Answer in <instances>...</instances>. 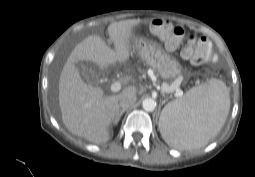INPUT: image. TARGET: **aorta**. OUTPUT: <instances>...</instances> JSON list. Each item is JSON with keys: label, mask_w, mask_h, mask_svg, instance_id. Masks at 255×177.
<instances>
[{"label": "aorta", "mask_w": 255, "mask_h": 177, "mask_svg": "<svg viewBox=\"0 0 255 177\" xmlns=\"http://www.w3.org/2000/svg\"><path fill=\"white\" fill-rule=\"evenodd\" d=\"M142 107L147 112H153L156 108V101L152 98L143 100Z\"/></svg>", "instance_id": "obj_1"}]
</instances>
